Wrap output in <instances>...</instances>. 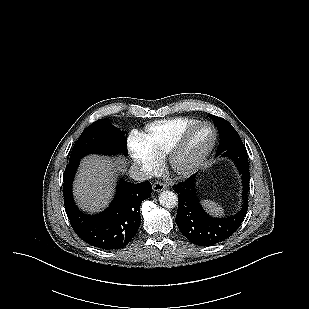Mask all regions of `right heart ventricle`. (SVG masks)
<instances>
[{
  "label": "right heart ventricle",
  "mask_w": 309,
  "mask_h": 309,
  "mask_svg": "<svg viewBox=\"0 0 309 309\" xmlns=\"http://www.w3.org/2000/svg\"><path fill=\"white\" fill-rule=\"evenodd\" d=\"M198 120L193 118H172L155 121L145 127L138 141L156 158L165 157L183 133Z\"/></svg>",
  "instance_id": "e07e8e85"
}]
</instances>
